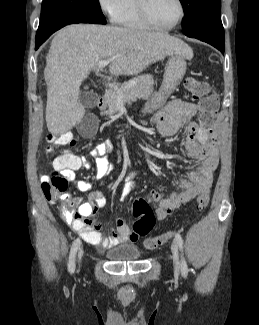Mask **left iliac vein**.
Wrapping results in <instances>:
<instances>
[{
	"label": "left iliac vein",
	"mask_w": 259,
	"mask_h": 325,
	"mask_svg": "<svg viewBox=\"0 0 259 325\" xmlns=\"http://www.w3.org/2000/svg\"><path fill=\"white\" fill-rule=\"evenodd\" d=\"M171 252L173 258L174 272L176 275H179V271H180L179 252H178V246L175 241H173L171 244Z\"/></svg>",
	"instance_id": "left-iliac-vein-1"
}]
</instances>
